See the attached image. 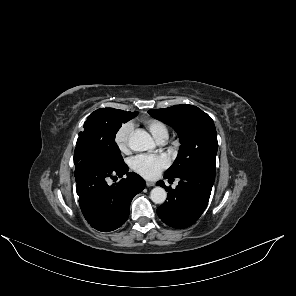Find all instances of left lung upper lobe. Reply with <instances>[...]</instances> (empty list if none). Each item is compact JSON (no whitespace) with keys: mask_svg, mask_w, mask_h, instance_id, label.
Masks as SVG:
<instances>
[{"mask_svg":"<svg viewBox=\"0 0 296 296\" xmlns=\"http://www.w3.org/2000/svg\"><path fill=\"white\" fill-rule=\"evenodd\" d=\"M148 113L173 127L180 138L178 156L164 176L178 177L200 168L216 170L217 133L208 114L187 104L149 110Z\"/></svg>","mask_w":296,"mask_h":296,"instance_id":"5c2ea615","label":"left lung upper lobe"}]
</instances>
